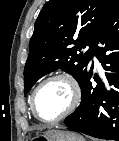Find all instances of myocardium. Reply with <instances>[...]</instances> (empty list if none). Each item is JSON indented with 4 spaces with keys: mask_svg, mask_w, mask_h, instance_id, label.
<instances>
[{
    "mask_svg": "<svg viewBox=\"0 0 119 141\" xmlns=\"http://www.w3.org/2000/svg\"><path fill=\"white\" fill-rule=\"evenodd\" d=\"M55 80H61L64 81L69 89H70V93H71V99L69 102V105L67 106V108L61 113L59 114L57 117L52 118V119H42L36 110V97L38 92L40 91V89L46 85L49 82L55 81ZM81 100V90L79 87V84L77 82V80L68 73H57V74H53L47 78H45L43 81H41L36 88L34 89L32 96H31V110L33 115L35 116L36 119H38L39 121L43 122V123H55L58 122L64 118H66L67 116H69L70 114H72L76 108L78 107L79 103Z\"/></svg>",
    "mask_w": 119,
    "mask_h": 141,
    "instance_id": "obj_1",
    "label": "myocardium"
}]
</instances>
